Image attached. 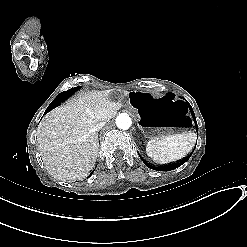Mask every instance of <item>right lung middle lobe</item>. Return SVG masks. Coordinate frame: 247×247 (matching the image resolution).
<instances>
[{"label": "right lung middle lobe", "mask_w": 247, "mask_h": 247, "mask_svg": "<svg viewBox=\"0 0 247 247\" xmlns=\"http://www.w3.org/2000/svg\"><path fill=\"white\" fill-rule=\"evenodd\" d=\"M78 89H79V87H75V88H71V89H69L67 91H69V93H74Z\"/></svg>", "instance_id": "right-lung-middle-lobe-1"}]
</instances>
